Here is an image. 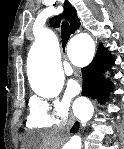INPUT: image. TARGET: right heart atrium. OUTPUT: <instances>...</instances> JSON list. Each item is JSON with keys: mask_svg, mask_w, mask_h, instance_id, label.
<instances>
[{"mask_svg": "<svg viewBox=\"0 0 124 149\" xmlns=\"http://www.w3.org/2000/svg\"><path fill=\"white\" fill-rule=\"evenodd\" d=\"M69 100L34 97L30 103L28 126L38 129L52 128L68 114Z\"/></svg>", "mask_w": 124, "mask_h": 149, "instance_id": "1", "label": "right heart atrium"}]
</instances>
